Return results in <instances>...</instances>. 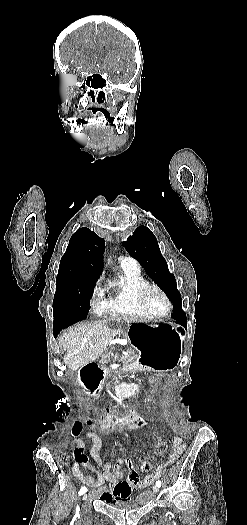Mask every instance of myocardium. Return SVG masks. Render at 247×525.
I'll return each mask as SVG.
<instances>
[{
  "label": "myocardium",
  "instance_id": "f54148a6",
  "mask_svg": "<svg viewBox=\"0 0 247 525\" xmlns=\"http://www.w3.org/2000/svg\"><path fill=\"white\" fill-rule=\"evenodd\" d=\"M147 289H154V290L158 291L164 297V299H165V301L167 303V307H166V309L163 312L156 313V312L150 310L148 307H146V305L144 304V301H143V294H144V292ZM134 295L139 300V305L141 306V308H143L145 310V312L147 313V315L149 317H153V319L164 318V317L168 316L170 314L171 310H172V301H171L170 297L168 296L166 291L156 282L144 281V282L140 283L139 285H137L134 288Z\"/></svg>",
  "mask_w": 247,
  "mask_h": 525
}]
</instances>
